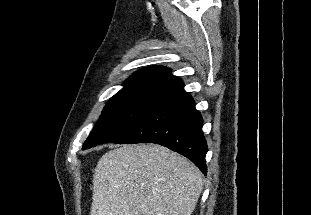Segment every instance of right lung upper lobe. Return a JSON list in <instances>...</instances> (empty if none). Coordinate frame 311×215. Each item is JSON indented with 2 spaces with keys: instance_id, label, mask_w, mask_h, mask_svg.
<instances>
[{
  "instance_id": "1",
  "label": "right lung upper lobe",
  "mask_w": 311,
  "mask_h": 215,
  "mask_svg": "<svg viewBox=\"0 0 311 215\" xmlns=\"http://www.w3.org/2000/svg\"><path fill=\"white\" fill-rule=\"evenodd\" d=\"M180 80L177 76L172 75L169 68L162 66H149L138 70L131 75L124 83L125 87L129 86H148V85H167L171 86Z\"/></svg>"
}]
</instances>
